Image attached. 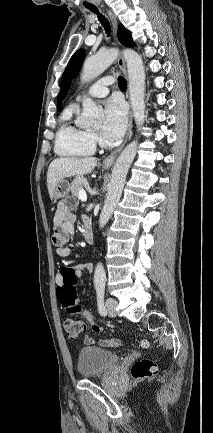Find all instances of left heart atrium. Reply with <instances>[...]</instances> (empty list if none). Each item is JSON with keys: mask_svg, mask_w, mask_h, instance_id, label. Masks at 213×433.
Wrapping results in <instances>:
<instances>
[{"mask_svg": "<svg viewBox=\"0 0 213 433\" xmlns=\"http://www.w3.org/2000/svg\"><path fill=\"white\" fill-rule=\"evenodd\" d=\"M126 126V108L122 101L116 98L106 101L102 125L103 135L108 140H118L124 134Z\"/></svg>", "mask_w": 213, "mask_h": 433, "instance_id": "left-heart-atrium-1", "label": "left heart atrium"}]
</instances>
